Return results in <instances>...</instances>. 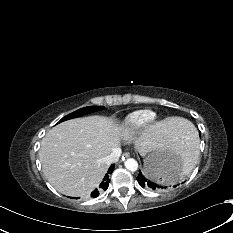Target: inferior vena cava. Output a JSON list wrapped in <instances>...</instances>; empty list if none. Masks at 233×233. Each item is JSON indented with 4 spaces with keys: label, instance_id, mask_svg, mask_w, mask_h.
Returning <instances> with one entry per match:
<instances>
[{
    "label": "inferior vena cava",
    "instance_id": "1",
    "mask_svg": "<svg viewBox=\"0 0 233 233\" xmlns=\"http://www.w3.org/2000/svg\"><path fill=\"white\" fill-rule=\"evenodd\" d=\"M121 155V149L120 148H115L110 155H108L105 158V162L110 165L112 163H116L119 160V157Z\"/></svg>",
    "mask_w": 233,
    "mask_h": 233
}]
</instances>
